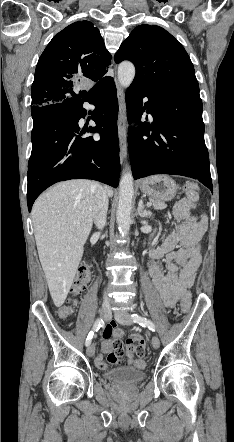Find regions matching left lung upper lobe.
I'll return each mask as SVG.
<instances>
[{
  "mask_svg": "<svg viewBox=\"0 0 234 442\" xmlns=\"http://www.w3.org/2000/svg\"><path fill=\"white\" fill-rule=\"evenodd\" d=\"M134 63L133 85L162 91L199 93L193 64L183 46L165 29L140 25L121 44L115 62Z\"/></svg>",
  "mask_w": 234,
  "mask_h": 442,
  "instance_id": "left-lung-upper-lobe-1",
  "label": "left lung upper lobe"
}]
</instances>
